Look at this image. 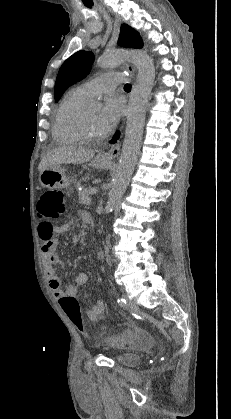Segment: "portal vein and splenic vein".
Here are the masks:
<instances>
[{"label": "portal vein and splenic vein", "mask_w": 231, "mask_h": 419, "mask_svg": "<svg viewBox=\"0 0 231 419\" xmlns=\"http://www.w3.org/2000/svg\"><path fill=\"white\" fill-rule=\"evenodd\" d=\"M97 188H92L91 190H90V194L91 195H94V194H96L97 193Z\"/></svg>", "instance_id": "18ae733b"}]
</instances>
